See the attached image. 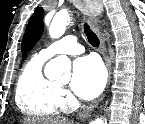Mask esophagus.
Wrapping results in <instances>:
<instances>
[{
    "mask_svg": "<svg viewBox=\"0 0 145 124\" xmlns=\"http://www.w3.org/2000/svg\"><path fill=\"white\" fill-rule=\"evenodd\" d=\"M102 10H103V6L101 2L95 1L91 4V7L89 9H85L83 10V12L84 14L88 16L89 24L92 27V29L95 31V33L97 34L100 41V51L104 57V60L108 69V85H107V88H108L111 81L112 69H111V62H110L106 45H105V40L98 25V16L101 14ZM103 97L100 100H102ZM100 100L96 101L95 103L89 105L86 109H84L80 113V118L82 120H86L90 116L91 112L98 106Z\"/></svg>",
    "mask_w": 145,
    "mask_h": 124,
    "instance_id": "obj_1",
    "label": "esophagus"
}]
</instances>
